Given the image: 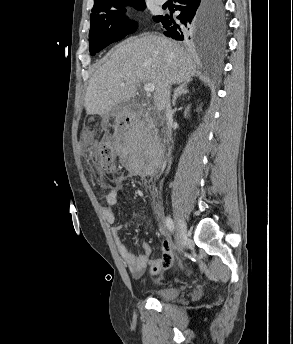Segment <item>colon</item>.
Returning <instances> with one entry per match:
<instances>
[{
    "label": "colon",
    "mask_w": 293,
    "mask_h": 344,
    "mask_svg": "<svg viewBox=\"0 0 293 344\" xmlns=\"http://www.w3.org/2000/svg\"><path fill=\"white\" fill-rule=\"evenodd\" d=\"M83 136L89 138V133L84 132ZM97 166L100 171L108 174L116 173V163L111 143L103 142L97 149ZM112 186V184H110Z\"/></svg>",
    "instance_id": "5ec220e1"
}]
</instances>
